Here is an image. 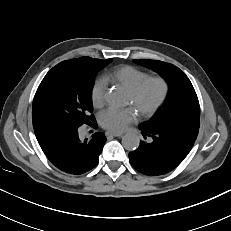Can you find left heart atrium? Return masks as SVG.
Instances as JSON below:
<instances>
[{
	"instance_id": "1",
	"label": "left heart atrium",
	"mask_w": 231,
	"mask_h": 231,
	"mask_svg": "<svg viewBox=\"0 0 231 231\" xmlns=\"http://www.w3.org/2000/svg\"><path fill=\"white\" fill-rule=\"evenodd\" d=\"M137 117L138 114L134 107L125 109L109 108L100 115V124L111 132L120 133L135 122Z\"/></svg>"
}]
</instances>
